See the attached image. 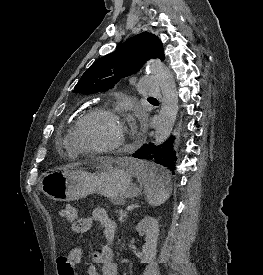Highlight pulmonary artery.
I'll return each instance as SVG.
<instances>
[{
    "label": "pulmonary artery",
    "mask_w": 263,
    "mask_h": 275,
    "mask_svg": "<svg viewBox=\"0 0 263 275\" xmlns=\"http://www.w3.org/2000/svg\"><path fill=\"white\" fill-rule=\"evenodd\" d=\"M138 90L141 94L146 96H156L159 94V86L157 82L151 78H141L138 83Z\"/></svg>",
    "instance_id": "pulmonary-artery-1"
}]
</instances>
